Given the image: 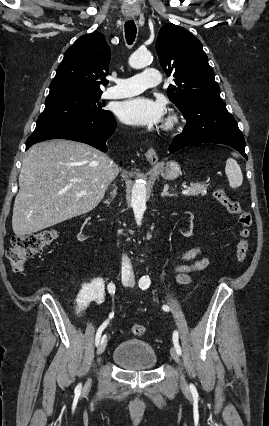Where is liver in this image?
Instances as JSON below:
<instances>
[{
  "instance_id": "1",
  "label": "liver",
  "mask_w": 269,
  "mask_h": 426,
  "mask_svg": "<svg viewBox=\"0 0 269 426\" xmlns=\"http://www.w3.org/2000/svg\"><path fill=\"white\" fill-rule=\"evenodd\" d=\"M118 172L106 154L85 143L54 139L35 144L22 162L13 232L32 234L90 212ZM82 191L86 195L79 196Z\"/></svg>"
}]
</instances>
